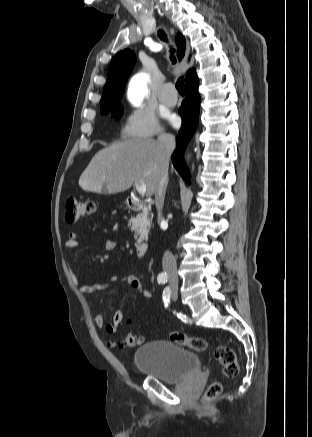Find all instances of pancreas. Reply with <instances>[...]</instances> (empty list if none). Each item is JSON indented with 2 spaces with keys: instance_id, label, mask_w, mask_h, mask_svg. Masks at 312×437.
I'll list each match as a JSON object with an SVG mask.
<instances>
[{
  "instance_id": "pancreas-1",
  "label": "pancreas",
  "mask_w": 312,
  "mask_h": 437,
  "mask_svg": "<svg viewBox=\"0 0 312 437\" xmlns=\"http://www.w3.org/2000/svg\"><path fill=\"white\" fill-rule=\"evenodd\" d=\"M130 223H132L131 230L135 232L134 238L138 242L147 239L151 223L146 209L142 214L132 217Z\"/></svg>"
}]
</instances>
